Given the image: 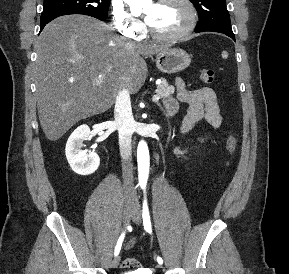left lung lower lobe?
<instances>
[{"label":"left lung lower lobe","mask_w":289,"mask_h":274,"mask_svg":"<svg viewBox=\"0 0 289 274\" xmlns=\"http://www.w3.org/2000/svg\"><path fill=\"white\" fill-rule=\"evenodd\" d=\"M221 33H224L225 35L231 37L235 41V36H234L233 32H221Z\"/></svg>","instance_id":"obj_1"}]
</instances>
